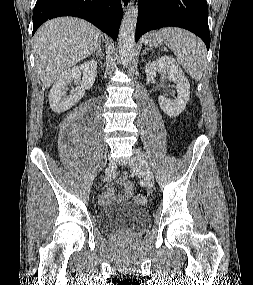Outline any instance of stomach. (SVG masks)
<instances>
[{"label":"stomach","instance_id":"stomach-1","mask_svg":"<svg viewBox=\"0 0 253 285\" xmlns=\"http://www.w3.org/2000/svg\"><path fill=\"white\" fill-rule=\"evenodd\" d=\"M167 42V39L162 34H160V32H151L146 36L144 41L147 46L155 48L166 44Z\"/></svg>","mask_w":253,"mask_h":285}]
</instances>
